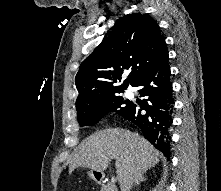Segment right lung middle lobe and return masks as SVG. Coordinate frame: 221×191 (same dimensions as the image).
<instances>
[{"label": "right lung middle lobe", "mask_w": 221, "mask_h": 191, "mask_svg": "<svg viewBox=\"0 0 221 191\" xmlns=\"http://www.w3.org/2000/svg\"><path fill=\"white\" fill-rule=\"evenodd\" d=\"M131 105L132 103L123 97L115 96L77 113L78 122L80 126H93L109 112H116L124 117L131 109Z\"/></svg>", "instance_id": "1"}]
</instances>
